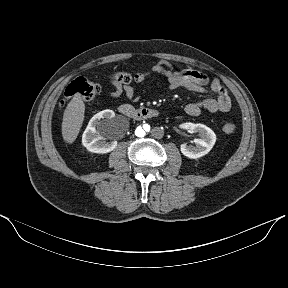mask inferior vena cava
I'll use <instances>...</instances> for the list:
<instances>
[{
  "label": "inferior vena cava",
  "instance_id": "obj_1",
  "mask_svg": "<svg viewBox=\"0 0 288 288\" xmlns=\"http://www.w3.org/2000/svg\"><path fill=\"white\" fill-rule=\"evenodd\" d=\"M151 136H152V138L155 139V140H160V139H162L163 136H164V130H163V128L160 127V126H155V127H153L152 130H151Z\"/></svg>",
  "mask_w": 288,
  "mask_h": 288
}]
</instances>
